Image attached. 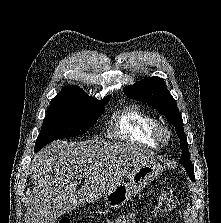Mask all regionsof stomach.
<instances>
[{
    "label": "stomach",
    "mask_w": 221,
    "mask_h": 223,
    "mask_svg": "<svg viewBox=\"0 0 221 223\" xmlns=\"http://www.w3.org/2000/svg\"><path fill=\"white\" fill-rule=\"evenodd\" d=\"M162 167L156 161L138 163L128 176L127 181L119 183L104 196L105 204L111 208L123 207L133 196L159 177Z\"/></svg>",
    "instance_id": "1"
}]
</instances>
